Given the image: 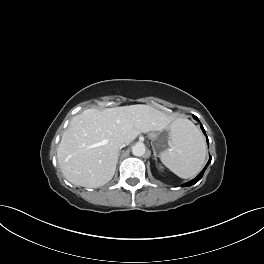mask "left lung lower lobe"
Returning a JSON list of instances; mask_svg holds the SVG:
<instances>
[{"mask_svg":"<svg viewBox=\"0 0 264 264\" xmlns=\"http://www.w3.org/2000/svg\"><path fill=\"white\" fill-rule=\"evenodd\" d=\"M193 117H194L197 121H199L198 118H197L196 116L193 115ZM201 129H202L203 133H204L205 136H206V133H205V130H204L202 124H201ZM206 137H207V136H206ZM207 141H208V138H207ZM210 162H211V158L209 159L208 164H209ZM208 164H207V165H208ZM207 165H206V167H207ZM206 167L202 170V172H201V173H200L195 179H193V180H191V181H189V182L183 184V187L191 186V185L197 183V182L202 178V176H203V174H204V171H205Z\"/></svg>","mask_w":264,"mask_h":264,"instance_id":"1","label":"left lung lower lobe"}]
</instances>
